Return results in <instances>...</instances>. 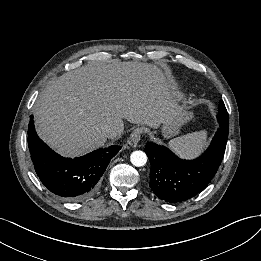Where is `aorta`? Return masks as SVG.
I'll use <instances>...</instances> for the list:
<instances>
[{
    "label": "aorta",
    "instance_id": "obj_1",
    "mask_svg": "<svg viewBox=\"0 0 261 261\" xmlns=\"http://www.w3.org/2000/svg\"><path fill=\"white\" fill-rule=\"evenodd\" d=\"M131 163L136 167H142L147 162V156L143 151H134L130 156Z\"/></svg>",
    "mask_w": 261,
    "mask_h": 261
}]
</instances>
